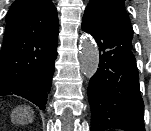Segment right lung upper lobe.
Masks as SVG:
<instances>
[{
  "label": "right lung upper lobe",
  "instance_id": "obj_1",
  "mask_svg": "<svg viewBox=\"0 0 151 131\" xmlns=\"http://www.w3.org/2000/svg\"><path fill=\"white\" fill-rule=\"evenodd\" d=\"M58 16L52 0H16L6 16L0 54V88L40 70L58 42Z\"/></svg>",
  "mask_w": 151,
  "mask_h": 131
}]
</instances>
